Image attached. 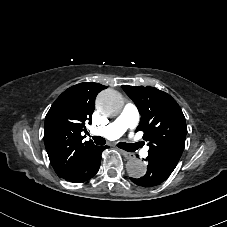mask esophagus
I'll return each instance as SVG.
<instances>
[{"instance_id": "1", "label": "esophagus", "mask_w": 227, "mask_h": 227, "mask_svg": "<svg viewBox=\"0 0 227 227\" xmlns=\"http://www.w3.org/2000/svg\"><path fill=\"white\" fill-rule=\"evenodd\" d=\"M120 152L126 159H132L135 157V155L133 153L126 152L124 150H120Z\"/></svg>"}]
</instances>
